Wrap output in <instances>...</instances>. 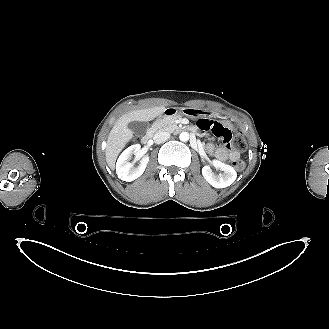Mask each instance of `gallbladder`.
I'll return each instance as SVG.
<instances>
[{
  "label": "gallbladder",
  "mask_w": 329,
  "mask_h": 329,
  "mask_svg": "<svg viewBox=\"0 0 329 329\" xmlns=\"http://www.w3.org/2000/svg\"><path fill=\"white\" fill-rule=\"evenodd\" d=\"M128 128L138 136H143L146 134L147 129L149 128V124L147 122L142 121H131L128 123Z\"/></svg>",
  "instance_id": "bac80fb5"
}]
</instances>
